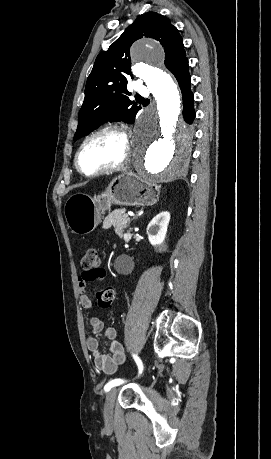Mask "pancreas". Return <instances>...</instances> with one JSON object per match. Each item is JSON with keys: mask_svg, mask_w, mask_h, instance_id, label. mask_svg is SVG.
Listing matches in <instances>:
<instances>
[{"mask_svg": "<svg viewBox=\"0 0 271 459\" xmlns=\"http://www.w3.org/2000/svg\"><path fill=\"white\" fill-rule=\"evenodd\" d=\"M125 213V210H114V212H111L109 216L104 221V226L103 229L105 231H108L112 226L115 228V233H118L120 237H122V233L124 231V228L127 226V222H129L128 217H123L122 215Z\"/></svg>", "mask_w": 271, "mask_h": 459, "instance_id": "pancreas-1", "label": "pancreas"}]
</instances>
